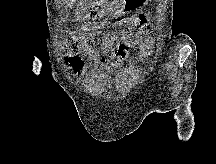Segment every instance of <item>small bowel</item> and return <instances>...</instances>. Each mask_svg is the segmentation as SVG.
Segmentation results:
<instances>
[{
	"label": "small bowel",
	"mask_w": 216,
	"mask_h": 164,
	"mask_svg": "<svg viewBox=\"0 0 216 164\" xmlns=\"http://www.w3.org/2000/svg\"><path fill=\"white\" fill-rule=\"evenodd\" d=\"M148 15L140 14L126 19L123 23L127 24V28L119 35L115 32L107 33L102 40V50L109 54L108 59L101 60V63L107 70H113L126 59L130 47L140 43V50L137 61L142 60L151 53L153 41L148 37ZM139 26V30L135 32V27ZM89 54H93L92 48L88 50Z\"/></svg>",
	"instance_id": "obj_1"
}]
</instances>
